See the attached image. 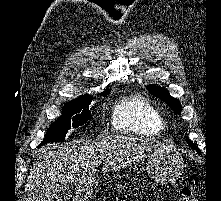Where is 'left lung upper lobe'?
I'll return each mask as SVG.
<instances>
[{"mask_svg":"<svg viewBox=\"0 0 221 201\" xmlns=\"http://www.w3.org/2000/svg\"><path fill=\"white\" fill-rule=\"evenodd\" d=\"M147 88L151 92V94L168 104L176 113L179 114L181 112V104L179 100L170 96L168 90L156 85H149ZM187 142L196 151L200 152V149L196 145H194L189 139H187Z\"/></svg>","mask_w":221,"mask_h":201,"instance_id":"1","label":"left lung upper lobe"}]
</instances>
